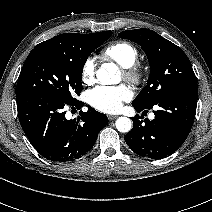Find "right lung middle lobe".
<instances>
[{"instance_id": "1", "label": "right lung middle lobe", "mask_w": 212, "mask_h": 212, "mask_svg": "<svg viewBox=\"0 0 212 212\" xmlns=\"http://www.w3.org/2000/svg\"><path fill=\"white\" fill-rule=\"evenodd\" d=\"M112 35L111 31L91 34L69 33L57 47L36 46L21 69L16 95L46 93L67 102L82 90V71L88 56Z\"/></svg>"}]
</instances>
